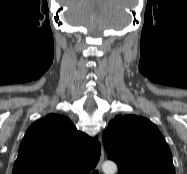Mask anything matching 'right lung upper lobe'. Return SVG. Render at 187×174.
<instances>
[{"label": "right lung upper lobe", "mask_w": 187, "mask_h": 174, "mask_svg": "<svg viewBox=\"0 0 187 174\" xmlns=\"http://www.w3.org/2000/svg\"><path fill=\"white\" fill-rule=\"evenodd\" d=\"M100 153V143L79 132L69 118L49 114L26 131L12 174H85Z\"/></svg>", "instance_id": "right-lung-upper-lobe-1"}]
</instances>
